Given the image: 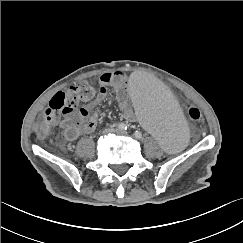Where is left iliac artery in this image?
<instances>
[{"label":"left iliac artery","instance_id":"1","mask_svg":"<svg viewBox=\"0 0 243 243\" xmlns=\"http://www.w3.org/2000/svg\"><path fill=\"white\" fill-rule=\"evenodd\" d=\"M134 136H135L137 139H139V138H141L142 134H141L139 131H136V132L134 133Z\"/></svg>","mask_w":243,"mask_h":243}]
</instances>
